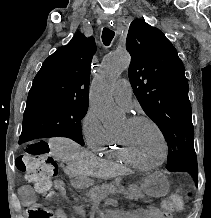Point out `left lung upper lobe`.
Returning a JSON list of instances; mask_svg holds the SVG:
<instances>
[{"label": "left lung upper lobe", "mask_w": 211, "mask_h": 218, "mask_svg": "<svg viewBox=\"0 0 211 218\" xmlns=\"http://www.w3.org/2000/svg\"><path fill=\"white\" fill-rule=\"evenodd\" d=\"M126 49L133 92L167 142V169L187 171L198 182L189 86L175 47L162 31L136 19L129 27Z\"/></svg>", "instance_id": "left-lung-upper-lobe-1"}]
</instances>
